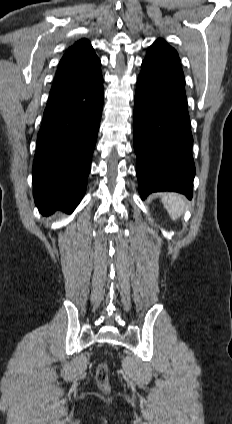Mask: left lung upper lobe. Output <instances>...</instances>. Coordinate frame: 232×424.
I'll list each match as a JSON object with an SVG mask.
<instances>
[{"mask_svg":"<svg viewBox=\"0 0 232 424\" xmlns=\"http://www.w3.org/2000/svg\"><path fill=\"white\" fill-rule=\"evenodd\" d=\"M144 61L151 63H179L180 59L174 48L169 46L164 40L159 39L149 47Z\"/></svg>","mask_w":232,"mask_h":424,"instance_id":"5c2ea615","label":"left lung upper lobe"}]
</instances>
